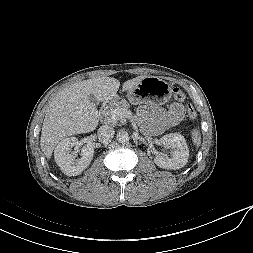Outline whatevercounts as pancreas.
Wrapping results in <instances>:
<instances>
[{
  "label": "pancreas",
  "instance_id": "obj_1",
  "mask_svg": "<svg viewBox=\"0 0 253 253\" xmlns=\"http://www.w3.org/2000/svg\"><path fill=\"white\" fill-rule=\"evenodd\" d=\"M130 107L129 103L122 99L121 101H117L113 104H111L110 106H108L106 109H104L103 111V116H104V120L107 124L110 125H116L117 124V120H113L111 119V114L115 109H128Z\"/></svg>",
  "mask_w": 253,
  "mask_h": 253
}]
</instances>
